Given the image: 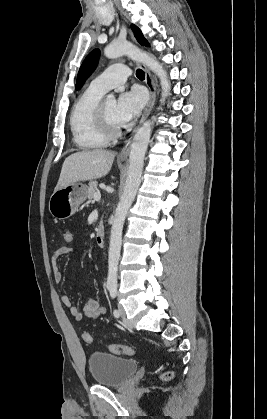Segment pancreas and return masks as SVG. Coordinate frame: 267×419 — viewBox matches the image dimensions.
I'll return each instance as SVG.
<instances>
[{"label": "pancreas", "instance_id": "1", "mask_svg": "<svg viewBox=\"0 0 267 419\" xmlns=\"http://www.w3.org/2000/svg\"><path fill=\"white\" fill-rule=\"evenodd\" d=\"M98 182L97 181H90L87 190V198L92 200L94 198V194L98 192L97 189Z\"/></svg>", "mask_w": 267, "mask_h": 419}]
</instances>
